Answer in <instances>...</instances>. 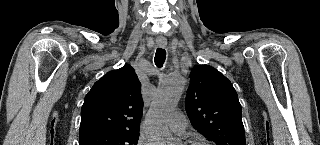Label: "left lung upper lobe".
I'll return each mask as SVG.
<instances>
[{
    "mask_svg": "<svg viewBox=\"0 0 320 145\" xmlns=\"http://www.w3.org/2000/svg\"><path fill=\"white\" fill-rule=\"evenodd\" d=\"M185 107L193 127L216 145H246L237 93L215 68L199 65L191 71Z\"/></svg>",
    "mask_w": 320,
    "mask_h": 145,
    "instance_id": "obj_1",
    "label": "left lung upper lobe"
}]
</instances>
